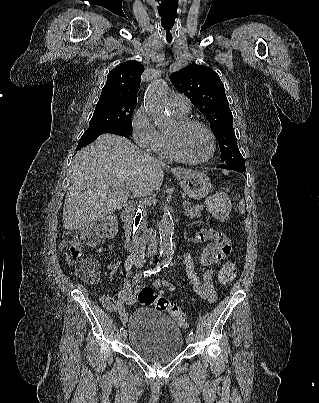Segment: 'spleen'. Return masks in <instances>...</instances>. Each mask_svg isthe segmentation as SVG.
Instances as JSON below:
<instances>
[{
  "label": "spleen",
  "mask_w": 319,
  "mask_h": 403,
  "mask_svg": "<svg viewBox=\"0 0 319 403\" xmlns=\"http://www.w3.org/2000/svg\"><path fill=\"white\" fill-rule=\"evenodd\" d=\"M239 212H240L241 214H244V213H245V204H244V200H241L240 203H239Z\"/></svg>",
  "instance_id": "spleen-1"
}]
</instances>
